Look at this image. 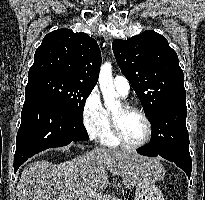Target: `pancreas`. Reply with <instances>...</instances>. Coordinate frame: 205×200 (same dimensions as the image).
<instances>
[{"label": "pancreas", "mask_w": 205, "mask_h": 200, "mask_svg": "<svg viewBox=\"0 0 205 200\" xmlns=\"http://www.w3.org/2000/svg\"><path fill=\"white\" fill-rule=\"evenodd\" d=\"M112 200H122V199H112Z\"/></svg>", "instance_id": "pancreas-1"}]
</instances>
